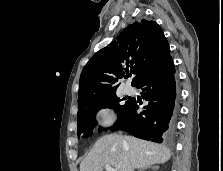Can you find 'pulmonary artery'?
<instances>
[{"label":"pulmonary artery","instance_id":"1","mask_svg":"<svg viewBox=\"0 0 223 171\" xmlns=\"http://www.w3.org/2000/svg\"><path fill=\"white\" fill-rule=\"evenodd\" d=\"M124 93L127 94V95H131V94L134 93V88L130 85H125Z\"/></svg>","mask_w":223,"mask_h":171}]
</instances>
